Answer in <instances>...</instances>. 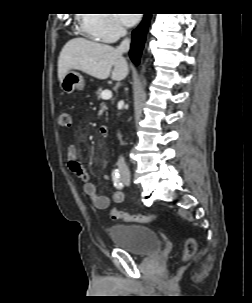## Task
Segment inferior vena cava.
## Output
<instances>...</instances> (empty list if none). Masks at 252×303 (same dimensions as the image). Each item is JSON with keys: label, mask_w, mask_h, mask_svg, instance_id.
I'll return each mask as SVG.
<instances>
[{"label": "inferior vena cava", "mask_w": 252, "mask_h": 303, "mask_svg": "<svg viewBox=\"0 0 252 303\" xmlns=\"http://www.w3.org/2000/svg\"><path fill=\"white\" fill-rule=\"evenodd\" d=\"M121 34L123 36H125L127 34V31L126 29L124 28H121ZM130 49V39L129 38H125L121 44L119 45V47L117 48V51L120 52V53H126L128 52ZM117 166H118V169H119V172L120 174H130L129 172V168L125 162V159L120 156L119 159H118V162H117Z\"/></svg>", "instance_id": "obj_1"}]
</instances>
